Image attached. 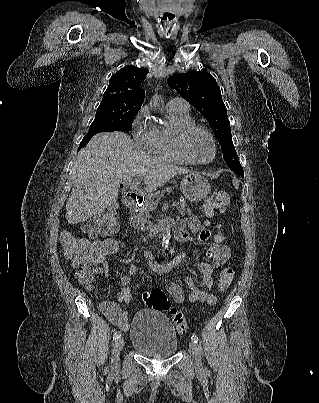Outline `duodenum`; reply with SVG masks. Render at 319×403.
<instances>
[{
  "instance_id": "410a0bca",
  "label": "duodenum",
  "mask_w": 319,
  "mask_h": 403,
  "mask_svg": "<svg viewBox=\"0 0 319 403\" xmlns=\"http://www.w3.org/2000/svg\"><path fill=\"white\" fill-rule=\"evenodd\" d=\"M123 202L129 209L138 208L142 204L141 197L135 191H127L123 195ZM173 226V221L170 219H163L154 223L147 232L149 237H154L157 234L167 231Z\"/></svg>"
}]
</instances>
